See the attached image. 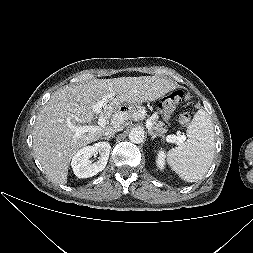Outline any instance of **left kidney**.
Wrapping results in <instances>:
<instances>
[{
  "instance_id": "left-kidney-1",
  "label": "left kidney",
  "mask_w": 253,
  "mask_h": 253,
  "mask_svg": "<svg viewBox=\"0 0 253 253\" xmlns=\"http://www.w3.org/2000/svg\"><path fill=\"white\" fill-rule=\"evenodd\" d=\"M156 163H157V166L160 168V170L164 169V166H165V153L163 151H159Z\"/></svg>"
}]
</instances>
